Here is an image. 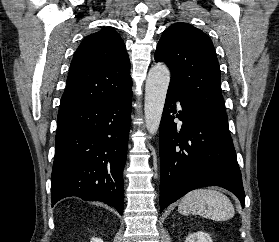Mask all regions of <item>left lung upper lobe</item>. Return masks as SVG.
<instances>
[{"mask_svg": "<svg viewBox=\"0 0 279 242\" xmlns=\"http://www.w3.org/2000/svg\"><path fill=\"white\" fill-rule=\"evenodd\" d=\"M155 60L168 65L171 71L170 85L184 99L228 125L221 94L219 63L208 35L187 23L172 24L162 34Z\"/></svg>", "mask_w": 279, "mask_h": 242, "instance_id": "5c2ea615", "label": "left lung upper lobe"}]
</instances>
